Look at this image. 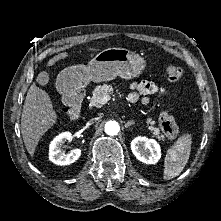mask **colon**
<instances>
[{"mask_svg": "<svg viewBox=\"0 0 221 221\" xmlns=\"http://www.w3.org/2000/svg\"><path fill=\"white\" fill-rule=\"evenodd\" d=\"M163 72L165 78L172 83L179 82L183 75L182 68L176 64L166 66ZM160 127L169 139H176L180 135V128L171 115L170 109H165L160 114Z\"/></svg>", "mask_w": 221, "mask_h": 221, "instance_id": "5ec220e1", "label": "colon"}]
</instances>
